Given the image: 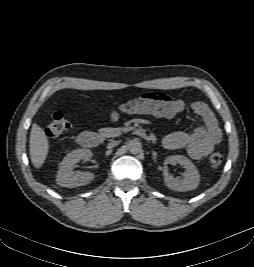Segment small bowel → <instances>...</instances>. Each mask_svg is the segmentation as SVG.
<instances>
[{
	"mask_svg": "<svg viewBox=\"0 0 254 267\" xmlns=\"http://www.w3.org/2000/svg\"><path fill=\"white\" fill-rule=\"evenodd\" d=\"M189 107L199 117L201 125L193 132H174L162 138V145L168 150L185 149L196 160L209 155L221 140V130L210 108L201 101L189 106L180 99L163 93H145L120 104L110 114V121L116 122L120 113L152 115L162 119H173Z\"/></svg>",
	"mask_w": 254,
	"mask_h": 267,
	"instance_id": "c3829d8e",
	"label": "small bowel"
}]
</instances>
